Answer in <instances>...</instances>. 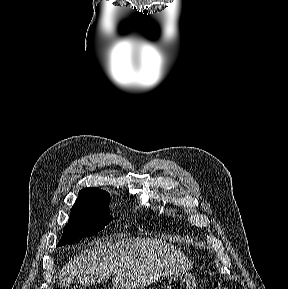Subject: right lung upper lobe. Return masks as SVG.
I'll return each mask as SVG.
<instances>
[{
	"mask_svg": "<svg viewBox=\"0 0 288 289\" xmlns=\"http://www.w3.org/2000/svg\"><path fill=\"white\" fill-rule=\"evenodd\" d=\"M107 192L101 190V189H98V188H85V189H82L80 192H79V197H98L102 194H105Z\"/></svg>",
	"mask_w": 288,
	"mask_h": 289,
	"instance_id": "right-lung-upper-lobe-1",
	"label": "right lung upper lobe"
}]
</instances>
